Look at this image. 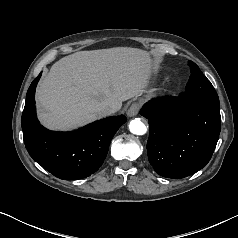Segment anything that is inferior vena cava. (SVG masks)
Listing matches in <instances>:
<instances>
[{"instance_id":"inferior-vena-cava-1","label":"inferior vena cava","mask_w":238,"mask_h":238,"mask_svg":"<svg viewBox=\"0 0 238 238\" xmlns=\"http://www.w3.org/2000/svg\"><path fill=\"white\" fill-rule=\"evenodd\" d=\"M117 109L114 106L103 105L98 108V112L101 116H108L115 113Z\"/></svg>"}]
</instances>
